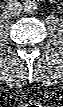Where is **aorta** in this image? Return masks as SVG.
I'll return each instance as SVG.
<instances>
[{
  "label": "aorta",
  "instance_id": "aorta-1",
  "mask_svg": "<svg viewBox=\"0 0 63 107\" xmlns=\"http://www.w3.org/2000/svg\"><path fill=\"white\" fill-rule=\"evenodd\" d=\"M22 7L25 12L32 13L37 9V3L35 0H25Z\"/></svg>",
  "mask_w": 63,
  "mask_h": 107
}]
</instances>
